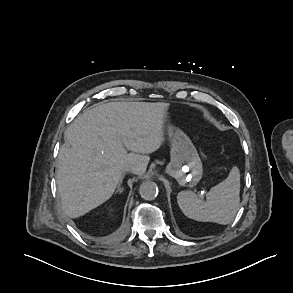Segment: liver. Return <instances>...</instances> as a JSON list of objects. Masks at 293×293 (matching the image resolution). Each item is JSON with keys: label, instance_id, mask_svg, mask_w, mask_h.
Here are the masks:
<instances>
[{"label": "liver", "instance_id": "liver-1", "mask_svg": "<svg viewBox=\"0 0 293 293\" xmlns=\"http://www.w3.org/2000/svg\"><path fill=\"white\" fill-rule=\"evenodd\" d=\"M168 109L161 102H110L85 110L68 126L57 172L67 216L80 217L107 201L126 167L145 173L148 154L163 143Z\"/></svg>", "mask_w": 293, "mask_h": 293}]
</instances>
